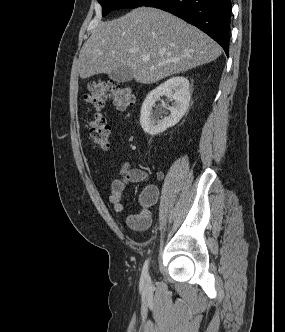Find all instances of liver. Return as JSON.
Instances as JSON below:
<instances>
[{"mask_svg":"<svg viewBox=\"0 0 285 332\" xmlns=\"http://www.w3.org/2000/svg\"><path fill=\"white\" fill-rule=\"evenodd\" d=\"M221 53L213 39L182 19L139 7L95 26L80 51L78 70L86 79L128 67L136 82L152 84L214 61ZM144 56L148 62L142 61Z\"/></svg>","mask_w":285,"mask_h":332,"instance_id":"obj_1","label":"liver"}]
</instances>
